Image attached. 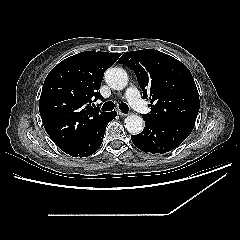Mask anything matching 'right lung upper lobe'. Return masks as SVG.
I'll return each instance as SVG.
<instances>
[{"instance_id":"cb5924a9","label":"right lung upper lobe","mask_w":240,"mask_h":240,"mask_svg":"<svg viewBox=\"0 0 240 240\" xmlns=\"http://www.w3.org/2000/svg\"><path fill=\"white\" fill-rule=\"evenodd\" d=\"M119 53L85 51L61 61L47 75L39 101L44 128L65 149L94 134L108 112L91 106L103 99L100 85Z\"/></svg>"}]
</instances>
